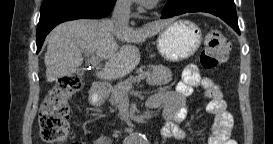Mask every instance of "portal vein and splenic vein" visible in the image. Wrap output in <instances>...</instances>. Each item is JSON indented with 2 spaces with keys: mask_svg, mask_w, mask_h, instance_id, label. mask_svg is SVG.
<instances>
[{
  "mask_svg": "<svg viewBox=\"0 0 273 144\" xmlns=\"http://www.w3.org/2000/svg\"><path fill=\"white\" fill-rule=\"evenodd\" d=\"M88 53H85V55H87ZM90 62L93 64V65H97L99 63V56L96 55V54H93L91 59H90ZM149 75L148 72L146 73H142L140 75H138V81L144 79L145 77H147Z\"/></svg>",
  "mask_w": 273,
  "mask_h": 144,
  "instance_id": "18ae733b",
  "label": "portal vein and splenic vein"
}]
</instances>
